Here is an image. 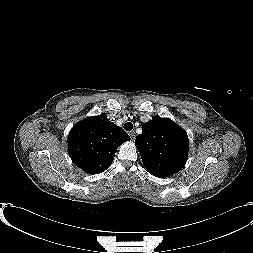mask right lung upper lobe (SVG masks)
<instances>
[{
    "instance_id": "1",
    "label": "right lung upper lobe",
    "mask_w": 253,
    "mask_h": 253,
    "mask_svg": "<svg viewBox=\"0 0 253 253\" xmlns=\"http://www.w3.org/2000/svg\"><path fill=\"white\" fill-rule=\"evenodd\" d=\"M130 140L129 135L102 113L77 123L68 137V151L73 163L90 174L110 167L117 148Z\"/></svg>"
}]
</instances>
